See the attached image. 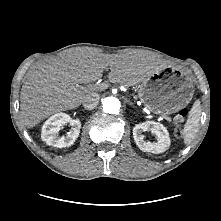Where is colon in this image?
<instances>
[{
	"instance_id": "1",
	"label": "colon",
	"mask_w": 221,
	"mask_h": 221,
	"mask_svg": "<svg viewBox=\"0 0 221 221\" xmlns=\"http://www.w3.org/2000/svg\"><path fill=\"white\" fill-rule=\"evenodd\" d=\"M187 115V109L183 108L179 110L173 117V125L175 127V133L178 137L182 134V125Z\"/></svg>"
}]
</instances>
